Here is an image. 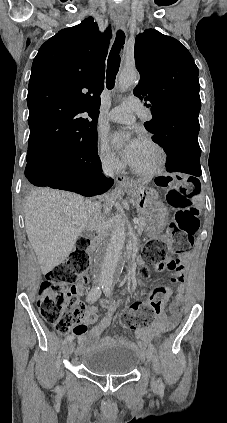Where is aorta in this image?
Wrapping results in <instances>:
<instances>
[{
  "mask_svg": "<svg viewBox=\"0 0 227 423\" xmlns=\"http://www.w3.org/2000/svg\"><path fill=\"white\" fill-rule=\"evenodd\" d=\"M137 81L138 73L136 71H123L119 76V88L125 91ZM125 240V224L120 217H117L109 241L100 244L93 257V270L99 285L110 287L119 279L125 263Z\"/></svg>",
  "mask_w": 227,
  "mask_h": 423,
  "instance_id": "762f6f07",
  "label": "aorta"
}]
</instances>
